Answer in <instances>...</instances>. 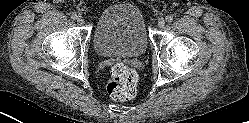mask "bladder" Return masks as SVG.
Returning <instances> with one entry per match:
<instances>
[{"label":"bladder","instance_id":"31cf9c89","mask_svg":"<svg viewBox=\"0 0 249 123\" xmlns=\"http://www.w3.org/2000/svg\"><path fill=\"white\" fill-rule=\"evenodd\" d=\"M148 44L144 14L131 0L113 3L96 20L93 47L101 57H137L146 52Z\"/></svg>","mask_w":249,"mask_h":123}]
</instances>
